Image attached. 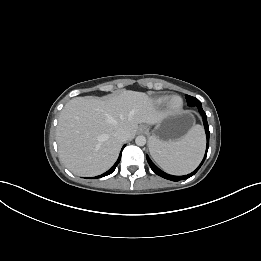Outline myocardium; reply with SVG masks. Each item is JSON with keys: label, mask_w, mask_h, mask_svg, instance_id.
<instances>
[{"label": "myocardium", "mask_w": 261, "mask_h": 261, "mask_svg": "<svg viewBox=\"0 0 261 261\" xmlns=\"http://www.w3.org/2000/svg\"><path fill=\"white\" fill-rule=\"evenodd\" d=\"M176 100L178 101L177 103H175ZM183 106L184 101L179 95H173L167 101V108L171 113H178L182 110Z\"/></svg>", "instance_id": "obj_1"}]
</instances>
